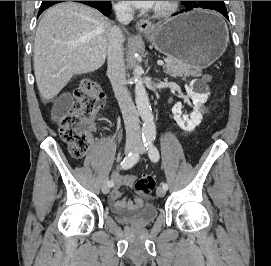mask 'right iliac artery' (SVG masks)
<instances>
[{"label":"right iliac artery","instance_id":"82829eb1","mask_svg":"<svg viewBox=\"0 0 271 266\" xmlns=\"http://www.w3.org/2000/svg\"><path fill=\"white\" fill-rule=\"evenodd\" d=\"M138 159H139L138 153L131 152L121 162L120 168L121 169H129V168L133 167L136 164ZM108 185H109V187H112L114 185L113 181L112 180L108 181Z\"/></svg>","mask_w":271,"mask_h":266}]
</instances>
